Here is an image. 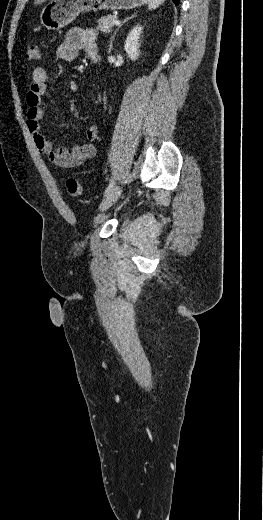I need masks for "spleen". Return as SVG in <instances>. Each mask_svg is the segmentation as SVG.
<instances>
[{
  "instance_id": "1",
  "label": "spleen",
  "mask_w": 263,
  "mask_h": 520,
  "mask_svg": "<svg viewBox=\"0 0 263 520\" xmlns=\"http://www.w3.org/2000/svg\"><path fill=\"white\" fill-rule=\"evenodd\" d=\"M165 0H148V9L152 10V9H156L158 8L161 4L164 3Z\"/></svg>"
}]
</instances>
